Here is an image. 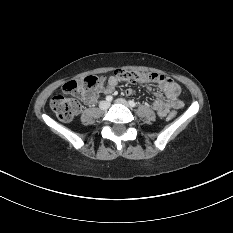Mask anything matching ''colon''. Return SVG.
I'll return each instance as SVG.
<instances>
[{
    "mask_svg": "<svg viewBox=\"0 0 233 233\" xmlns=\"http://www.w3.org/2000/svg\"><path fill=\"white\" fill-rule=\"evenodd\" d=\"M115 76L119 80L130 83H155L161 79L156 73H143L125 69L117 70ZM98 85L99 79L92 75L66 82L63 85V91L72 97L55 96L51 101L53 112L61 121H71L80 111L79 100L92 96L96 92ZM175 116L176 113L174 112L169 114L170 119Z\"/></svg>",
    "mask_w": 233,
    "mask_h": 233,
    "instance_id": "colon-1",
    "label": "colon"
}]
</instances>
